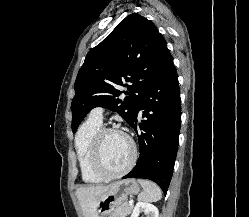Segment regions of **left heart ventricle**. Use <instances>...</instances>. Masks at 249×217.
Wrapping results in <instances>:
<instances>
[{"label":"left heart ventricle","mask_w":249,"mask_h":217,"mask_svg":"<svg viewBox=\"0 0 249 217\" xmlns=\"http://www.w3.org/2000/svg\"><path fill=\"white\" fill-rule=\"evenodd\" d=\"M131 148L127 139L119 133H108L102 140L101 158L110 172L122 170L129 162Z\"/></svg>","instance_id":"b2bd125f"}]
</instances>
